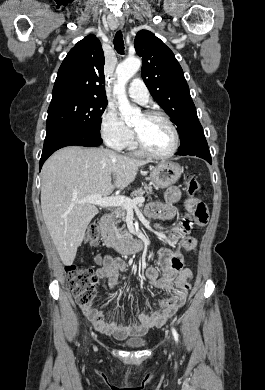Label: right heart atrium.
<instances>
[{
    "instance_id": "obj_1",
    "label": "right heart atrium",
    "mask_w": 265,
    "mask_h": 390,
    "mask_svg": "<svg viewBox=\"0 0 265 390\" xmlns=\"http://www.w3.org/2000/svg\"><path fill=\"white\" fill-rule=\"evenodd\" d=\"M100 133L105 143L116 150L124 149L133 137L132 130L125 125L112 106L106 107L101 115Z\"/></svg>"
}]
</instances>
